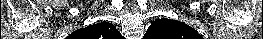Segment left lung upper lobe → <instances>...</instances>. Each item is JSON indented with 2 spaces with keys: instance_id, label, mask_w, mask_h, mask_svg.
Instances as JSON below:
<instances>
[{
  "instance_id": "obj_1",
  "label": "left lung upper lobe",
  "mask_w": 263,
  "mask_h": 39,
  "mask_svg": "<svg viewBox=\"0 0 263 39\" xmlns=\"http://www.w3.org/2000/svg\"><path fill=\"white\" fill-rule=\"evenodd\" d=\"M143 39H203V37L183 22L161 18L150 25Z\"/></svg>"
}]
</instances>
